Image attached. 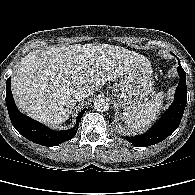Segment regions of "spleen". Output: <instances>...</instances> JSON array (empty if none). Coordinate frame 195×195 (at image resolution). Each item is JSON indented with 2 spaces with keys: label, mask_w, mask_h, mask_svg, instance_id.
Returning <instances> with one entry per match:
<instances>
[{
  "label": "spleen",
  "mask_w": 195,
  "mask_h": 195,
  "mask_svg": "<svg viewBox=\"0 0 195 195\" xmlns=\"http://www.w3.org/2000/svg\"><path fill=\"white\" fill-rule=\"evenodd\" d=\"M164 93L155 94L138 109L127 111L120 116L126 126L135 131H143L154 120L163 104Z\"/></svg>",
  "instance_id": "spleen-1"
}]
</instances>
